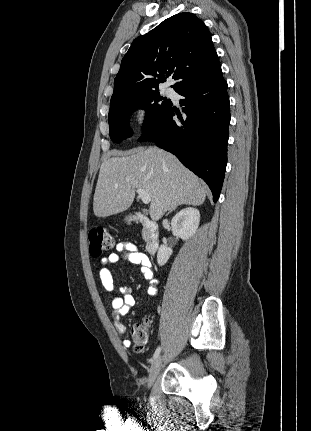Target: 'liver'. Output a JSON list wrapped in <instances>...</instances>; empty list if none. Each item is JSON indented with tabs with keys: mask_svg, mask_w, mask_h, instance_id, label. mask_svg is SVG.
I'll list each match as a JSON object with an SVG mask.
<instances>
[{
	"mask_svg": "<svg viewBox=\"0 0 311 431\" xmlns=\"http://www.w3.org/2000/svg\"><path fill=\"white\" fill-rule=\"evenodd\" d=\"M102 162L93 196L96 217L121 214L132 206L137 188L151 198L149 216L158 221L177 206H201L208 188L176 156L156 146L133 148ZM119 154V156H116Z\"/></svg>",
	"mask_w": 311,
	"mask_h": 431,
	"instance_id": "obj_1",
	"label": "liver"
}]
</instances>
